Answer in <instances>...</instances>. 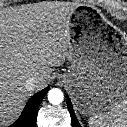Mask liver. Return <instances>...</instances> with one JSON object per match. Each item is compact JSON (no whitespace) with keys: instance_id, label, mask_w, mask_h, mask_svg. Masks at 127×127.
Here are the masks:
<instances>
[{"instance_id":"obj_1","label":"liver","mask_w":127,"mask_h":127,"mask_svg":"<svg viewBox=\"0 0 127 127\" xmlns=\"http://www.w3.org/2000/svg\"><path fill=\"white\" fill-rule=\"evenodd\" d=\"M78 3L22 5L0 13V124L43 87L70 56L69 22ZM38 77L32 88L29 78Z\"/></svg>"}]
</instances>
